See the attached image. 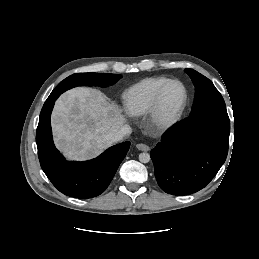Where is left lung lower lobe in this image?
I'll list each match as a JSON object with an SVG mask.
<instances>
[{
    "instance_id": "1",
    "label": "left lung lower lobe",
    "mask_w": 259,
    "mask_h": 259,
    "mask_svg": "<svg viewBox=\"0 0 259 259\" xmlns=\"http://www.w3.org/2000/svg\"><path fill=\"white\" fill-rule=\"evenodd\" d=\"M229 134L226 109L191 115L168 130L150 152L162 190L188 195L204 188L226 160Z\"/></svg>"
}]
</instances>
